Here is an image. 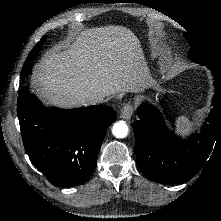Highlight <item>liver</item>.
<instances>
[{"instance_id":"liver-1","label":"liver","mask_w":221,"mask_h":221,"mask_svg":"<svg viewBox=\"0 0 221 221\" xmlns=\"http://www.w3.org/2000/svg\"><path fill=\"white\" fill-rule=\"evenodd\" d=\"M144 54L132 31L109 25L86 29L63 51L55 49L35 66L32 85L52 105L89 104L91 94L136 91L150 82Z\"/></svg>"}]
</instances>
